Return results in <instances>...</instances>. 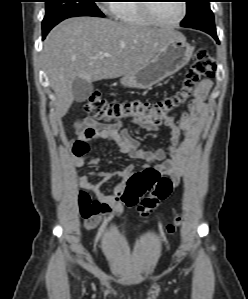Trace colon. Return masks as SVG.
I'll return each instance as SVG.
<instances>
[{"label": "colon", "mask_w": 248, "mask_h": 299, "mask_svg": "<svg viewBox=\"0 0 248 299\" xmlns=\"http://www.w3.org/2000/svg\"><path fill=\"white\" fill-rule=\"evenodd\" d=\"M215 72L214 57L206 50H199L186 73L181 89L173 96L157 102L140 100L112 102L100 94L93 93L89 95L84 111L97 120L107 122L144 120L158 125L168 119L174 110L186 101L201 81L212 78ZM171 191V181L161 176L156 169L148 167L134 172L127 179L120 192V199L125 206L133 207L142 195L148 193L149 195L141 201L138 208L139 214L147 217L161 201L169 196ZM91 204L92 201L86 195L80 194L79 205L83 217L93 214ZM181 221V217L176 216L174 221L166 226V232L169 235L174 234L179 229Z\"/></svg>", "instance_id": "obj_1"}]
</instances>
